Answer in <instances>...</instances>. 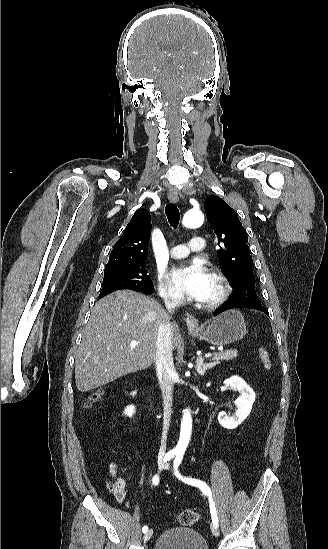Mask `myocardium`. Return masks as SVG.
I'll use <instances>...</instances> for the list:
<instances>
[{"mask_svg": "<svg viewBox=\"0 0 328 549\" xmlns=\"http://www.w3.org/2000/svg\"><path fill=\"white\" fill-rule=\"evenodd\" d=\"M201 263L214 269L211 272V276L219 284V291L217 295L211 300L201 301V305L206 310H216L220 308L221 305L228 299L231 292V285L226 276L218 270L220 268L219 265L211 261H203Z\"/></svg>", "mask_w": 328, "mask_h": 549, "instance_id": "1", "label": "myocardium"}]
</instances>
